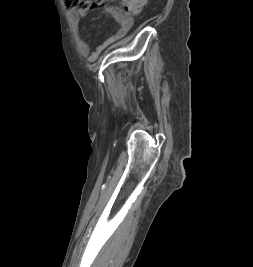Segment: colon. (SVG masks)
I'll list each match as a JSON object with an SVG mask.
<instances>
[{
    "label": "colon",
    "instance_id": "1",
    "mask_svg": "<svg viewBox=\"0 0 253 267\" xmlns=\"http://www.w3.org/2000/svg\"><path fill=\"white\" fill-rule=\"evenodd\" d=\"M147 0H122L123 11L126 15H139L146 5ZM69 9L87 11L100 7L104 0H64Z\"/></svg>",
    "mask_w": 253,
    "mask_h": 267
}]
</instances>
